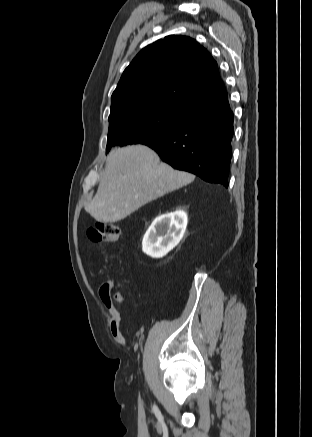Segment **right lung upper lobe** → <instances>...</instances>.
<instances>
[{
	"mask_svg": "<svg viewBox=\"0 0 312 437\" xmlns=\"http://www.w3.org/2000/svg\"><path fill=\"white\" fill-rule=\"evenodd\" d=\"M225 93L209 52L190 37L170 35L142 49L124 70L111 97V112L145 102L194 111Z\"/></svg>",
	"mask_w": 312,
	"mask_h": 437,
	"instance_id": "right-lung-upper-lobe-1",
	"label": "right lung upper lobe"
}]
</instances>
